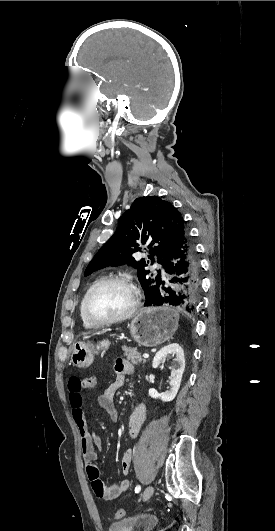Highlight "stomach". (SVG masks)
<instances>
[{
  "label": "stomach",
  "instance_id": "0dacf381",
  "mask_svg": "<svg viewBox=\"0 0 275 531\" xmlns=\"http://www.w3.org/2000/svg\"><path fill=\"white\" fill-rule=\"evenodd\" d=\"M179 315L170 307H148L141 309L129 325L131 337L142 347H157L168 341L177 331ZM109 341H76L72 345L71 363L79 369L90 367L95 355L109 347Z\"/></svg>",
  "mask_w": 275,
  "mask_h": 531
}]
</instances>
